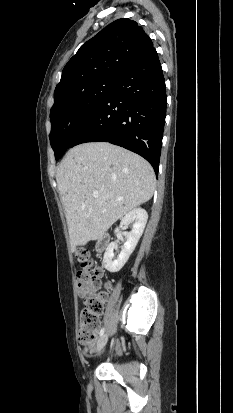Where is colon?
I'll list each match as a JSON object with an SVG mask.
<instances>
[{
    "mask_svg": "<svg viewBox=\"0 0 233 413\" xmlns=\"http://www.w3.org/2000/svg\"><path fill=\"white\" fill-rule=\"evenodd\" d=\"M76 259L78 262L76 278L79 293L82 296H87L97 292L101 284V270L96 262L87 250L78 251ZM105 299L104 293L89 296L80 314L78 340L87 349H91L96 340L99 318Z\"/></svg>",
    "mask_w": 233,
    "mask_h": 413,
    "instance_id": "colon-1",
    "label": "colon"
}]
</instances>
